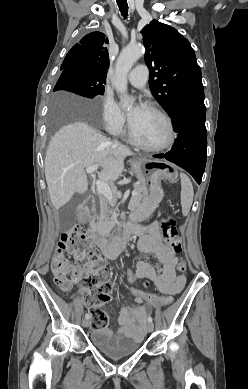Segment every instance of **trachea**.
Returning a JSON list of instances; mask_svg holds the SVG:
<instances>
[{"instance_id": "3493384b", "label": "trachea", "mask_w": 248, "mask_h": 389, "mask_svg": "<svg viewBox=\"0 0 248 389\" xmlns=\"http://www.w3.org/2000/svg\"><path fill=\"white\" fill-rule=\"evenodd\" d=\"M117 5L123 17H127L128 15V5L126 0H117Z\"/></svg>"}]
</instances>
